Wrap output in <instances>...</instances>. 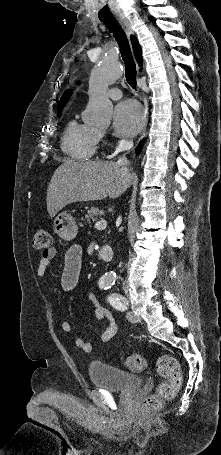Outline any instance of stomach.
<instances>
[{
  "instance_id": "obj_1",
  "label": "stomach",
  "mask_w": 221,
  "mask_h": 455,
  "mask_svg": "<svg viewBox=\"0 0 221 455\" xmlns=\"http://www.w3.org/2000/svg\"><path fill=\"white\" fill-rule=\"evenodd\" d=\"M54 232L63 240L71 241L78 233V226L73 216L66 212L58 214L53 222Z\"/></svg>"
}]
</instances>
